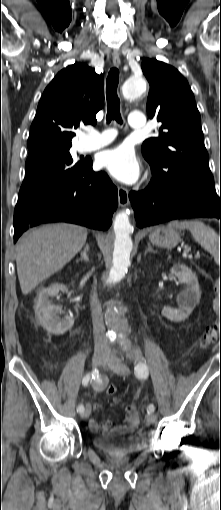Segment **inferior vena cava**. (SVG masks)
<instances>
[{"instance_id": "obj_1", "label": "inferior vena cava", "mask_w": 221, "mask_h": 510, "mask_svg": "<svg viewBox=\"0 0 221 510\" xmlns=\"http://www.w3.org/2000/svg\"><path fill=\"white\" fill-rule=\"evenodd\" d=\"M90 307L93 322L95 351L108 352L110 349L108 339L105 335L102 308L95 291L91 295Z\"/></svg>"}]
</instances>
